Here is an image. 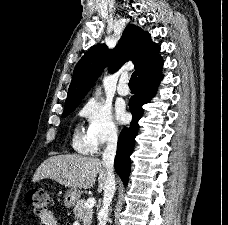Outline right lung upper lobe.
<instances>
[{"instance_id": "obj_1", "label": "right lung upper lobe", "mask_w": 228, "mask_h": 225, "mask_svg": "<svg viewBox=\"0 0 228 225\" xmlns=\"http://www.w3.org/2000/svg\"><path fill=\"white\" fill-rule=\"evenodd\" d=\"M159 51L160 47L151 41L148 32L136 25H128L113 50H108L105 44H98L79 60L73 72L65 107L80 103L106 65L111 72H115L125 62L132 60L138 74L159 57Z\"/></svg>"}]
</instances>
